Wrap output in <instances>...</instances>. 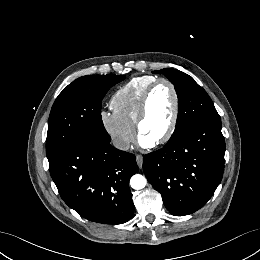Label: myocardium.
<instances>
[{"label":"myocardium","mask_w":260,"mask_h":260,"mask_svg":"<svg viewBox=\"0 0 260 260\" xmlns=\"http://www.w3.org/2000/svg\"><path fill=\"white\" fill-rule=\"evenodd\" d=\"M162 84H165L170 88V90L173 94L174 107H173V113H172L169 127H168L167 131L164 133V135L155 141V144H157V145L164 144L171 139V137L173 136V134L176 130L178 119H179L180 98H179V94H178V91H177L175 85L170 80L165 79V78H159L149 86V88L143 95V98H142V101L140 104V108L138 111L136 123H135L137 132L139 135H141V125L148 113V107H149L151 96H152L153 92L155 91V89L159 85H162Z\"/></svg>","instance_id":"obj_1"}]
</instances>
